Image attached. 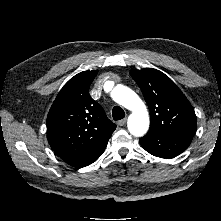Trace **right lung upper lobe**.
Listing matches in <instances>:
<instances>
[{
  "mask_svg": "<svg viewBox=\"0 0 221 221\" xmlns=\"http://www.w3.org/2000/svg\"><path fill=\"white\" fill-rule=\"evenodd\" d=\"M97 70L83 71L60 90L47 117V139L67 164L85 167L104 152L116 128L89 95Z\"/></svg>",
  "mask_w": 221,
  "mask_h": 221,
  "instance_id": "1",
  "label": "right lung upper lobe"
}]
</instances>
